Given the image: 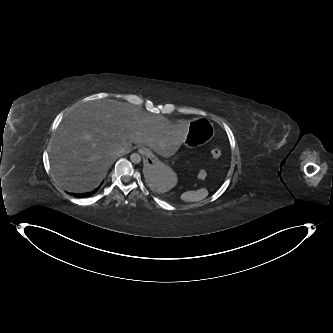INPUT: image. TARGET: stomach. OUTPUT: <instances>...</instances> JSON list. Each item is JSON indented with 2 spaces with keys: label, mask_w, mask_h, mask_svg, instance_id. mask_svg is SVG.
<instances>
[{
  "label": "stomach",
  "mask_w": 333,
  "mask_h": 333,
  "mask_svg": "<svg viewBox=\"0 0 333 333\" xmlns=\"http://www.w3.org/2000/svg\"><path fill=\"white\" fill-rule=\"evenodd\" d=\"M214 135L215 130L212 123L200 118L191 123L189 134L184 139V145L189 148L200 146L204 142H209ZM147 157L149 163L144 168L147 186L160 194L175 188L179 181L176 170L168 164L156 161L152 154H148Z\"/></svg>",
  "instance_id": "0dacf381"
}]
</instances>
